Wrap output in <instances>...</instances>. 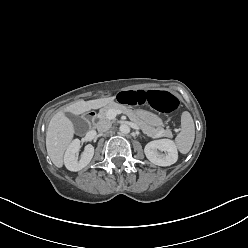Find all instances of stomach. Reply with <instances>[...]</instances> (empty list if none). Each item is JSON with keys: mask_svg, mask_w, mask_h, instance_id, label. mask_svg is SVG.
Here are the masks:
<instances>
[{"mask_svg": "<svg viewBox=\"0 0 248 248\" xmlns=\"http://www.w3.org/2000/svg\"><path fill=\"white\" fill-rule=\"evenodd\" d=\"M135 113L142 121L150 126H160L162 124V120L151 112L139 109Z\"/></svg>", "mask_w": 248, "mask_h": 248, "instance_id": "obj_1", "label": "stomach"}]
</instances>
